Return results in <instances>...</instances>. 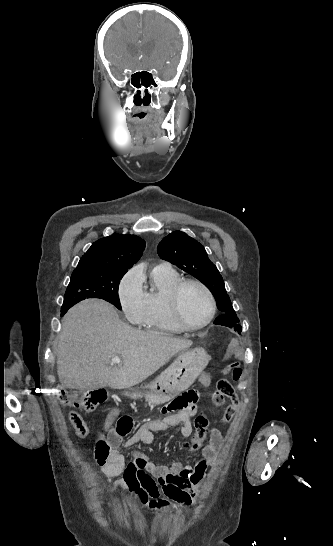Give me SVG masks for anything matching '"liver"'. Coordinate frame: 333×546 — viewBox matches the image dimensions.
Returning <instances> with one entry per match:
<instances>
[{
	"mask_svg": "<svg viewBox=\"0 0 333 546\" xmlns=\"http://www.w3.org/2000/svg\"><path fill=\"white\" fill-rule=\"evenodd\" d=\"M191 340L146 333L123 323L116 310L101 299H86L62 320L57 345V374L62 388H130L144 381ZM120 356L113 367L109 360Z\"/></svg>",
	"mask_w": 333,
	"mask_h": 546,
	"instance_id": "obj_1",
	"label": "liver"
}]
</instances>
